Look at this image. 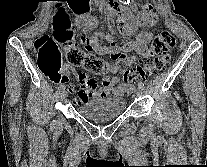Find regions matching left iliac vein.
<instances>
[{
	"label": "left iliac vein",
	"instance_id": "obj_1",
	"mask_svg": "<svg viewBox=\"0 0 207 167\" xmlns=\"http://www.w3.org/2000/svg\"><path fill=\"white\" fill-rule=\"evenodd\" d=\"M142 94H143V89L138 87L137 90H136V95L141 96Z\"/></svg>",
	"mask_w": 207,
	"mask_h": 167
}]
</instances>
